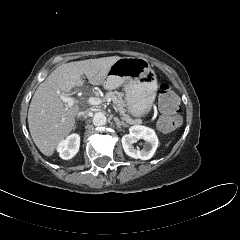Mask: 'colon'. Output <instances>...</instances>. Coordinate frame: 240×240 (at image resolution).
<instances>
[{
  "instance_id": "colon-1",
  "label": "colon",
  "mask_w": 240,
  "mask_h": 240,
  "mask_svg": "<svg viewBox=\"0 0 240 240\" xmlns=\"http://www.w3.org/2000/svg\"><path fill=\"white\" fill-rule=\"evenodd\" d=\"M159 111V126L163 131H170L180 124L179 100L168 84L160 86Z\"/></svg>"
}]
</instances>
